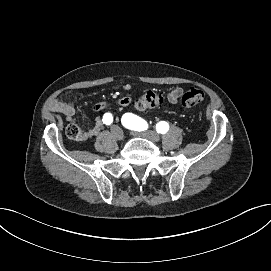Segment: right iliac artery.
Here are the masks:
<instances>
[{"instance_id": "obj_1", "label": "right iliac artery", "mask_w": 271, "mask_h": 271, "mask_svg": "<svg viewBox=\"0 0 271 271\" xmlns=\"http://www.w3.org/2000/svg\"><path fill=\"white\" fill-rule=\"evenodd\" d=\"M103 123L110 125L113 122V117L111 113H105L102 119Z\"/></svg>"}]
</instances>
